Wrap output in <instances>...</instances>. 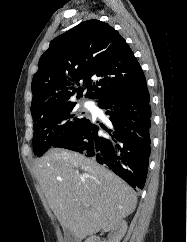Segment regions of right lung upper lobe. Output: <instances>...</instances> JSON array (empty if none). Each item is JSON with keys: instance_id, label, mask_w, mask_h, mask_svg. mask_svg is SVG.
I'll return each instance as SVG.
<instances>
[{"instance_id": "1", "label": "right lung upper lobe", "mask_w": 187, "mask_h": 242, "mask_svg": "<svg viewBox=\"0 0 187 242\" xmlns=\"http://www.w3.org/2000/svg\"><path fill=\"white\" fill-rule=\"evenodd\" d=\"M145 80L134 53L120 34L98 20L85 21L50 43L32 81V117L72 103L98 101Z\"/></svg>"}]
</instances>
